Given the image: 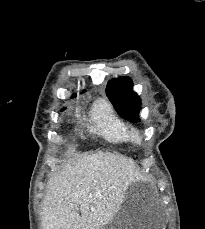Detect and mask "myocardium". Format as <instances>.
I'll return each instance as SVG.
<instances>
[{"label":"myocardium","instance_id":"obj_1","mask_svg":"<svg viewBox=\"0 0 205 229\" xmlns=\"http://www.w3.org/2000/svg\"><path fill=\"white\" fill-rule=\"evenodd\" d=\"M131 140L137 144L141 145L143 143V136L138 130H134L131 133Z\"/></svg>","mask_w":205,"mask_h":229}]
</instances>
